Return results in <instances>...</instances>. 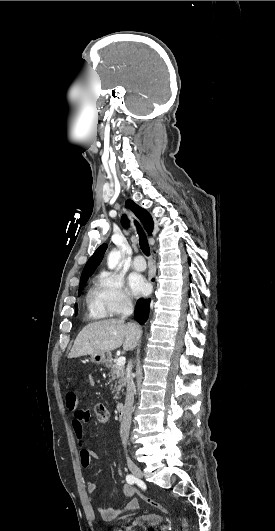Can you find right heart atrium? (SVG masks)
<instances>
[{"mask_svg": "<svg viewBox=\"0 0 275 531\" xmlns=\"http://www.w3.org/2000/svg\"><path fill=\"white\" fill-rule=\"evenodd\" d=\"M131 306L132 299L124 288L121 276L108 271L97 275L90 295V308L95 315L119 316L128 311Z\"/></svg>", "mask_w": 275, "mask_h": 531, "instance_id": "1", "label": "right heart atrium"}]
</instances>
